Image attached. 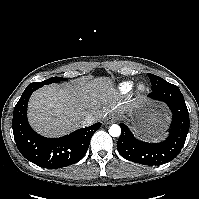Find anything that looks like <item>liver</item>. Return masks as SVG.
I'll return each mask as SVG.
<instances>
[{"label": "liver", "instance_id": "obj_1", "mask_svg": "<svg viewBox=\"0 0 199 199\" xmlns=\"http://www.w3.org/2000/svg\"><path fill=\"white\" fill-rule=\"evenodd\" d=\"M116 92L107 78L48 85L35 91L28 104L32 127L42 135L57 137L83 127L87 115L104 118L116 106Z\"/></svg>", "mask_w": 199, "mask_h": 199}]
</instances>
